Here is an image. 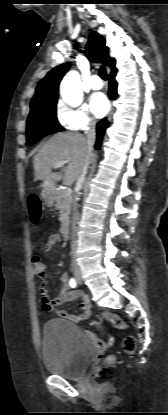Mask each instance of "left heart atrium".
Listing matches in <instances>:
<instances>
[{
  "label": "left heart atrium",
  "instance_id": "39dd6f15",
  "mask_svg": "<svg viewBox=\"0 0 168 415\" xmlns=\"http://www.w3.org/2000/svg\"><path fill=\"white\" fill-rule=\"evenodd\" d=\"M90 107L93 114L101 118L109 111V102L104 94L96 93L91 97Z\"/></svg>",
  "mask_w": 168,
  "mask_h": 415
}]
</instances>
